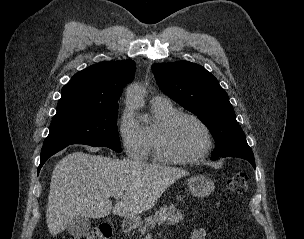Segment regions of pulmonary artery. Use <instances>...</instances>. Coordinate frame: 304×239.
<instances>
[{
  "label": "pulmonary artery",
  "mask_w": 304,
  "mask_h": 239,
  "mask_svg": "<svg viewBox=\"0 0 304 239\" xmlns=\"http://www.w3.org/2000/svg\"><path fill=\"white\" fill-rule=\"evenodd\" d=\"M161 100H167V99L162 96H154L152 98V101H161Z\"/></svg>",
  "instance_id": "e3ab8cb5"
}]
</instances>
